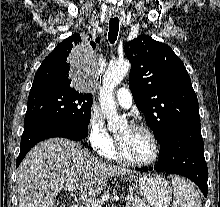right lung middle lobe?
<instances>
[{
  "instance_id": "1",
  "label": "right lung middle lobe",
  "mask_w": 220,
  "mask_h": 207,
  "mask_svg": "<svg viewBox=\"0 0 220 207\" xmlns=\"http://www.w3.org/2000/svg\"><path fill=\"white\" fill-rule=\"evenodd\" d=\"M92 103V94L73 87H32L24 124L32 120H51L88 127Z\"/></svg>"
}]
</instances>
